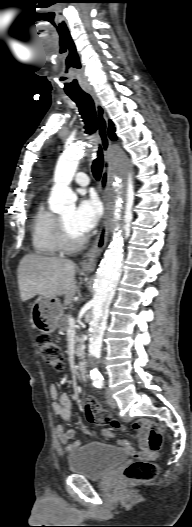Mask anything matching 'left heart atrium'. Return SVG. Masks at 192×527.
Here are the masks:
<instances>
[{
  "mask_svg": "<svg viewBox=\"0 0 192 527\" xmlns=\"http://www.w3.org/2000/svg\"><path fill=\"white\" fill-rule=\"evenodd\" d=\"M101 217V205L96 197L83 198L72 217L73 227L83 236L91 232Z\"/></svg>",
  "mask_w": 192,
  "mask_h": 527,
  "instance_id": "1",
  "label": "left heart atrium"
}]
</instances>
